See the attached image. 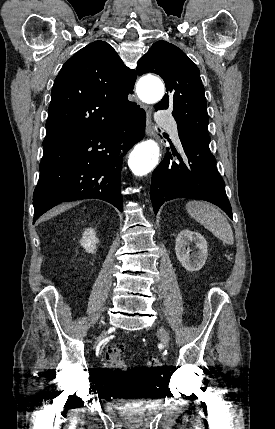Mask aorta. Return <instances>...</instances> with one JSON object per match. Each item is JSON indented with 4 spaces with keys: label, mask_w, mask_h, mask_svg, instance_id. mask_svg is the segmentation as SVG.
Masks as SVG:
<instances>
[{
    "label": "aorta",
    "mask_w": 275,
    "mask_h": 429,
    "mask_svg": "<svg viewBox=\"0 0 275 429\" xmlns=\"http://www.w3.org/2000/svg\"><path fill=\"white\" fill-rule=\"evenodd\" d=\"M138 95L146 103H157L164 95V85L156 77L143 78L139 82ZM159 156L158 144L149 139L135 146L129 158V166L136 176H145L158 164Z\"/></svg>",
    "instance_id": "762f6f07"
}]
</instances>
